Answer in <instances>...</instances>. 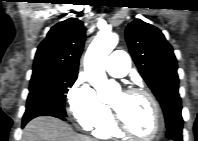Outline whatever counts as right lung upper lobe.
<instances>
[{"mask_svg":"<svg viewBox=\"0 0 198 141\" xmlns=\"http://www.w3.org/2000/svg\"><path fill=\"white\" fill-rule=\"evenodd\" d=\"M85 31L83 22L76 18H69L53 26L38 47L33 74H78L79 58L86 38Z\"/></svg>","mask_w":198,"mask_h":141,"instance_id":"cb5924a9","label":"right lung upper lobe"}]
</instances>
